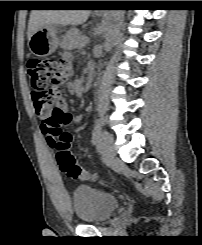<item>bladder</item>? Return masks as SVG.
Instances as JSON below:
<instances>
[{
  "label": "bladder",
  "mask_w": 202,
  "mask_h": 245,
  "mask_svg": "<svg viewBox=\"0 0 202 245\" xmlns=\"http://www.w3.org/2000/svg\"><path fill=\"white\" fill-rule=\"evenodd\" d=\"M72 206L79 220L101 224L117 210L119 201L115 195L81 185L73 191Z\"/></svg>",
  "instance_id": "bladder-1"
}]
</instances>
